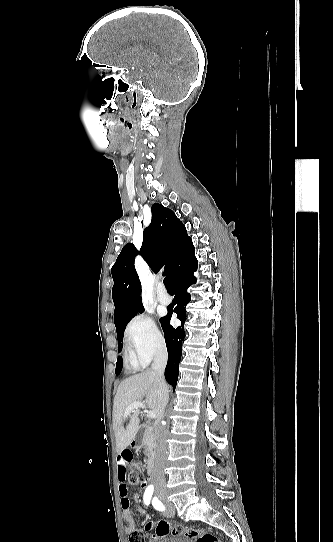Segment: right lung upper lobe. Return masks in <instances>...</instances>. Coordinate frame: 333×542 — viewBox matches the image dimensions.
<instances>
[{
	"label": "right lung upper lobe",
	"instance_id": "right-lung-upper-lobe-1",
	"mask_svg": "<svg viewBox=\"0 0 333 542\" xmlns=\"http://www.w3.org/2000/svg\"><path fill=\"white\" fill-rule=\"evenodd\" d=\"M151 210L152 220L143 232L140 254L155 273L165 266L164 275H169L171 278L172 266L177 254L192 241L187 235L184 224L172 210L158 203L153 204ZM137 254L135 246L128 243L112 266L114 322L143 308L140 296L141 284L134 267Z\"/></svg>",
	"mask_w": 333,
	"mask_h": 542
}]
</instances>
